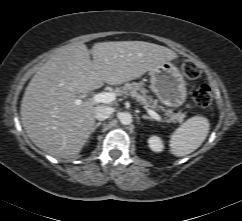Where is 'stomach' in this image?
<instances>
[{
	"label": "stomach",
	"mask_w": 242,
	"mask_h": 221,
	"mask_svg": "<svg viewBox=\"0 0 242 221\" xmlns=\"http://www.w3.org/2000/svg\"><path fill=\"white\" fill-rule=\"evenodd\" d=\"M151 90L159 101L169 107L181 106L187 97L186 82L180 70L171 62L149 71Z\"/></svg>",
	"instance_id": "0dacf381"
}]
</instances>
